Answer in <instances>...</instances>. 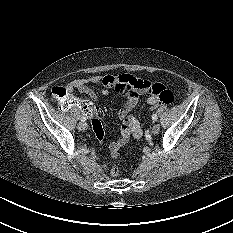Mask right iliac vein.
I'll use <instances>...</instances> for the list:
<instances>
[{"label":"right iliac vein","mask_w":233,"mask_h":233,"mask_svg":"<svg viewBox=\"0 0 233 233\" xmlns=\"http://www.w3.org/2000/svg\"><path fill=\"white\" fill-rule=\"evenodd\" d=\"M78 130L84 131L86 129V123L84 122H79L77 125Z\"/></svg>","instance_id":"obj_1"}]
</instances>
